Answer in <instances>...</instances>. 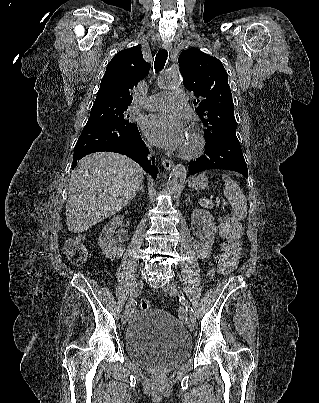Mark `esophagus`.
<instances>
[{"label":"esophagus","mask_w":319,"mask_h":403,"mask_svg":"<svg viewBox=\"0 0 319 403\" xmlns=\"http://www.w3.org/2000/svg\"><path fill=\"white\" fill-rule=\"evenodd\" d=\"M162 48L165 50L170 51L172 49V44L171 43H164L162 44ZM163 166L167 170H171L174 167V163L170 160L164 159L163 160Z\"/></svg>","instance_id":"1"}]
</instances>
